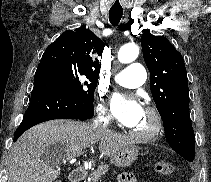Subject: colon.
<instances>
[{
	"mask_svg": "<svg viewBox=\"0 0 211 182\" xmlns=\"http://www.w3.org/2000/svg\"><path fill=\"white\" fill-rule=\"evenodd\" d=\"M155 171L161 175H170L174 171L172 163L166 161H158L154 165ZM56 182H66L65 180H57Z\"/></svg>",
	"mask_w": 211,
	"mask_h": 182,
	"instance_id": "1",
	"label": "colon"
}]
</instances>
